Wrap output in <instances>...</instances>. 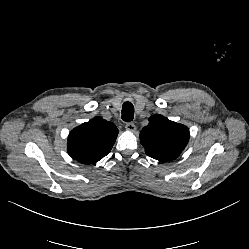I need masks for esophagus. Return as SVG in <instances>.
Listing matches in <instances>:
<instances>
[{"label": "esophagus", "instance_id": "34e87169", "mask_svg": "<svg viewBox=\"0 0 249 249\" xmlns=\"http://www.w3.org/2000/svg\"><path fill=\"white\" fill-rule=\"evenodd\" d=\"M125 129L128 131V132H135L136 131V126L134 123L132 122H127L126 125H125Z\"/></svg>", "mask_w": 249, "mask_h": 249}]
</instances>
